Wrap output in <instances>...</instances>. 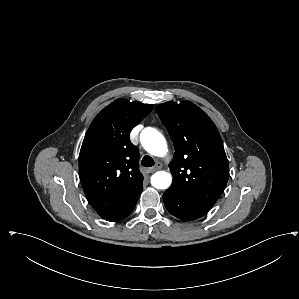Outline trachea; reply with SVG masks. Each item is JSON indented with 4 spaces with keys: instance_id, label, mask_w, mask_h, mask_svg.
Listing matches in <instances>:
<instances>
[{
    "instance_id": "obj_1",
    "label": "trachea",
    "mask_w": 299,
    "mask_h": 299,
    "mask_svg": "<svg viewBox=\"0 0 299 299\" xmlns=\"http://www.w3.org/2000/svg\"><path fill=\"white\" fill-rule=\"evenodd\" d=\"M141 165L144 167H152L154 165V160L150 156L145 155L141 160Z\"/></svg>"
}]
</instances>
